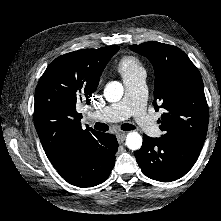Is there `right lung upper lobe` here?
<instances>
[{"instance_id":"cb5924a9","label":"right lung upper lobe","mask_w":221,"mask_h":221,"mask_svg":"<svg viewBox=\"0 0 221 221\" xmlns=\"http://www.w3.org/2000/svg\"><path fill=\"white\" fill-rule=\"evenodd\" d=\"M118 50L117 45H111L64 54L52 61L40 78L34 123L51 163L73 149L89 146L99 133L81 127L76 104H89L104 67Z\"/></svg>"}]
</instances>
